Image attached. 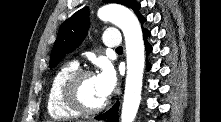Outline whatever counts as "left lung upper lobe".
Masks as SVG:
<instances>
[{
	"label": "left lung upper lobe",
	"mask_w": 221,
	"mask_h": 122,
	"mask_svg": "<svg viewBox=\"0 0 221 122\" xmlns=\"http://www.w3.org/2000/svg\"><path fill=\"white\" fill-rule=\"evenodd\" d=\"M106 3H118L133 8L136 0H104ZM89 28V9L87 7L74 13L59 28L54 43L49 67L54 68L66 54L77 48L85 38Z\"/></svg>",
	"instance_id": "left-lung-upper-lobe-1"
}]
</instances>
